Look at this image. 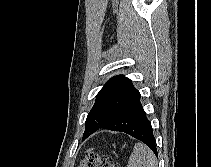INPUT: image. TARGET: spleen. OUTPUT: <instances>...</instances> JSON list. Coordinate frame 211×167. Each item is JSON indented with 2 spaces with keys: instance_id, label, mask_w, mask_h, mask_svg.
<instances>
[{
  "instance_id": "spleen-1",
  "label": "spleen",
  "mask_w": 211,
  "mask_h": 167,
  "mask_svg": "<svg viewBox=\"0 0 211 167\" xmlns=\"http://www.w3.org/2000/svg\"><path fill=\"white\" fill-rule=\"evenodd\" d=\"M127 167H157V159L146 145L136 143Z\"/></svg>"
}]
</instances>
